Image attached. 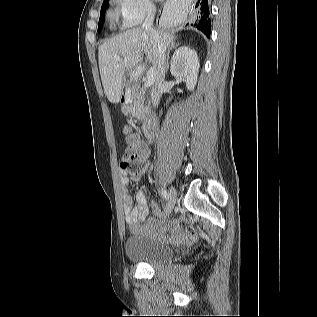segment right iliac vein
Returning <instances> with one entry per match:
<instances>
[{
	"instance_id": "obj_1",
	"label": "right iliac vein",
	"mask_w": 317,
	"mask_h": 317,
	"mask_svg": "<svg viewBox=\"0 0 317 317\" xmlns=\"http://www.w3.org/2000/svg\"><path fill=\"white\" fill-rule=\"evenodd\" d=\"M176 200H177V192L173 187H171L169 201L165 210V216H168L171 213L172 209L175 206Z\"/></svg>"
}]
</instances>
